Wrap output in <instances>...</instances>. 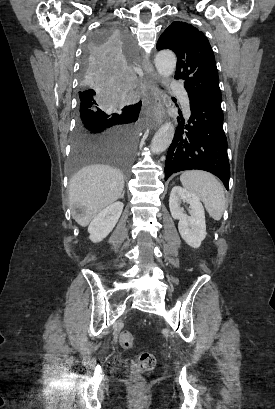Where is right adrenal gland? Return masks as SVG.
Instances as JSON below:
<instances>
[{"label":"right adrenal gland","mask_w":275,"mask_h":409,"mask_svg":"<svg viewBox=\"0 0 275 409\" xmlns=\"http://www.w3.org/2000/svg\"><path fill=\"white\" fill-rule=\"evenodd\" d=\"M124 194H125V190H123L121 196H119V198H124Z\"/></svg>","instance_id":"right-adrenal-gland-1"}]
</instances>
